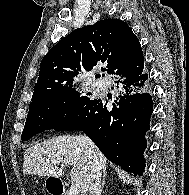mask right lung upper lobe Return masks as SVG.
<instances>
[{"mask_svg": "<svg viewBox=\"0 0 189 195\" xmlns=\"http://www.w3.org/2000/svg\"><path fill=\"white\" fill-rule=\"evenodd\" d=\"M102 63L113 75L144 66L139 40L125 22L100 20L72 31L52 47L41 61L32 102L73 87L81 72Z\"/></svg>", "mask_w": 189, "mask_h": 195, "instance_id": "1", "label": "right lung upper lobe"}]
</instances>
